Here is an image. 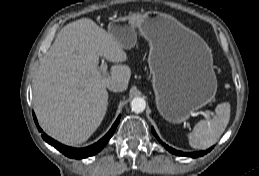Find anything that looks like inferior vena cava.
<instances>
[{"label": "inferior vena cava", "instance_id": "1", "mask_svg": "<svg viewBox=\"0 0 259 176\" xmlns=\"http://www.w3.org/2000/svg\"><path fill=\"white\" fill-rule=\"evenodd\" d=\"M110 91L119 92L121 91L120 86L116 83H111L107 87Z\"/></svg>", "mask_w": 259, "mask_h": 176}]
</instances>
